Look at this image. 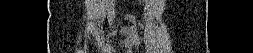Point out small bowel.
I'll use <instances>...</instances> for the list:
<instances>
[{
    "mask_svg": "<svg viewBox=\"0 0 253 53\" xmlns=\"http://www.w3.org/2000/svg\"><path fill=\"white\" fill-rule=\"evenodd\" d=\"M146 2V1H143ZM124 16L126 19L130 20L132 22V26L130 28H120V27H114V31H122L125 34H127V39L125 41V46L128 48H134L138 46L139 39H138V32L137 30L143 26V23L135 16L127 13L124 11Z\"/></svg>",
    "mask_w": 253,
    "mask_h": 53,
    "instance_id": "c3829d8e",
    "label": "small bowel"
}]
</instances>
